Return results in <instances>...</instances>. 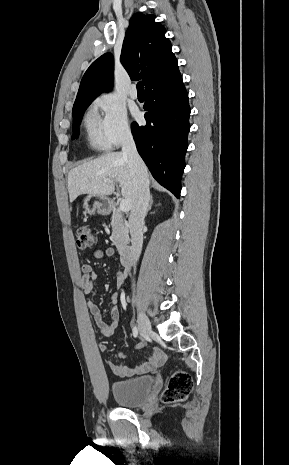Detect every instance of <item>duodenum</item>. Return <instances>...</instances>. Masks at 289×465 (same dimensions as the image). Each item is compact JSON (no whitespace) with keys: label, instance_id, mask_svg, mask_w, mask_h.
<instances>
[{"label":"duodenum","instance_id":"obj_1","mask_svg":"<svg viewBox=\"0 0 289 465\" xmlns=\"http://www.w3.org/2000/svg\"><path fill=\"white\" fill-rule=\"evenodd\" d=\"M135 261V250L132 246H128L122 251V263L124 266H131Z\"/></svg>","mask_w":289,"mask_h":465}]
</instances>
